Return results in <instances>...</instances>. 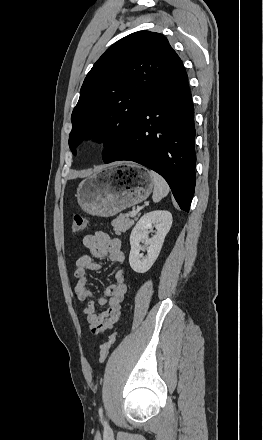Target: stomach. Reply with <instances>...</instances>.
Masks as SVG:
<instances>
[{"label": "stomach", "instance_id": "0dacf381", "mask_svg": "<svg viewBox=\"0 0 263 440\" xmlns=\"http://www.w3.org/2000/svg\"><path fill=\"white\" fill-rule=\"evenodd\" d=\"M150 172L140 166L106 167L85 178L77 188V200L88 214L111 217L146 200L153 189Z\"/></svg>", "mask_w": 263, "mask_h": 440}]
</instances>
